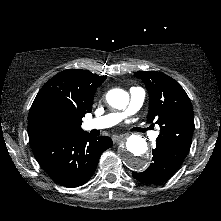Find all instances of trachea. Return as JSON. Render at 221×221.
Segmentation results:
<instances>
[{"instance_id":"1","label":"trachea","mask_w":221,"mask_h":221,"mask_svg":"<svg viewBox=\"0 0 221 221\" xmlns=\"http://www.w3.org/2000/svg\"><path fill=\"white\" fill-rule=\"evenodd\" d=\"M138 131H140V132H144L145 129H141V128H139Z\"/></svg>"}]
</instances>
